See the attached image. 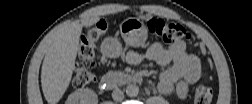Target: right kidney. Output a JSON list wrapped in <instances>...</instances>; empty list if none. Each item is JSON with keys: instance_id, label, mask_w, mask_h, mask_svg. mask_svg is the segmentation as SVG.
Returning a JSON list of instances; mask_svg holds the SVG:
<instances>
[{"instance_id": "1", "label": "right kidney", "mask_w": 252, "mask_h": 104, "mask_svg": "<svg viewBox=\"0 0 252 104\" xmlns=\"http://www.w3.org/2000/svg\"><path fill=\"white\" fill-rule=\"evenodd\" d=\"M97 102V95L91 89H79L67 98L68 104H96Z\"/></svg>"}]
</instances>
